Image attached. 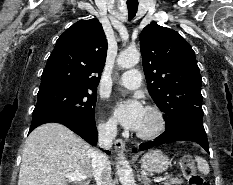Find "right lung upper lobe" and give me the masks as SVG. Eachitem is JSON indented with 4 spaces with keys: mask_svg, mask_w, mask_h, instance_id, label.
I'll use <instances>...</instances> for the list:
<instances>
[{
    "mask_svg": "<svg viewBox=\"0 0 233 185\" xmlns=\"http://www.w3.org/2000/svg\"><path fill=\"white\" fill-rule=\"evenodd\" d=\"M106 53L107 40L100 22L96 18L76 22L57 40L39 90L56 87L96 90Z\"/></svg>",
    "mask_w": 233,
    "mask_h": 185,
    "instance_id": "obj_1",
    "label": "right lung upper lobe"
}]
</instances>
